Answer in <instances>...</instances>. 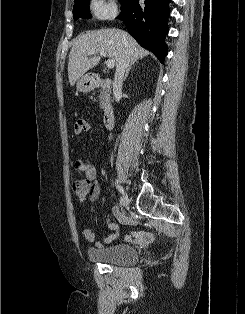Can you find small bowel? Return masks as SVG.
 I'll use <instances>...</instances> for the list:
<instances>
[{"label": "small bowel", "instance_id": "obj_1", "mask_svg": "<svg viewBox=\"0 0 245 314\" xmlns=\"http://www.w3.org/2000/svg\"><path fill=\"white\" fill-rule=\"evenodd\" d=\"M79 121L81 124H79ZM89 128V124L86 120L80 119L78 120L74 125V133L75 135H80L82 132L86 131ZM77 169L84 173L86 177L91 181V193H90V201L94 202L97 200L99 194H100V187L98 183L96 182V177L98 174V168L94 164H89L84 162L83 160L79 159L76 162ZM94 212V209H92ZM113 214L119 218L122 219V215L119 212L118 207L113 208ZM107 227L112 231V234H110L108 237L100 240L97 242L99 246H103L105 244H108L115 240L119 235V226L116 223H112L109 220H106ZM83 236L87 241H94L95 240V232L94 230L87 228L83 231ZM154 236L150 232L146 231H135L130 232L125 236V240L127 242H134L138 245H146L153 241Z\"/></svg>", "mask_w": 245, "mask_h": 314}]
</instances>
